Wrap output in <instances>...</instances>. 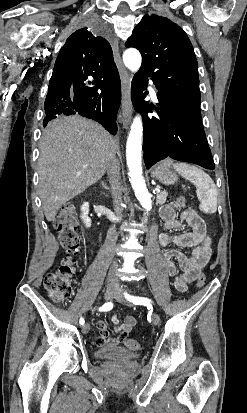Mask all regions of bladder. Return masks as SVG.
I'll list each match as a JSON object with an SVG mask.
<instances>
[{"mask_svg": "<svg viewBox=\"0 0 247 413\" xmlns=\"http://www.w3.org/2000/svg\"><path fill=\"white\" fill-rule=\"evenodd\" d=\"M136 352L128 349L117 348L113 346H103L95 348V356L97 359H132L135 357Z\"/></svg>", "mask_w": 247, "mask_h": 413, "instance_id": "31cf9c89", "label": "bladder"}]
</instances>
